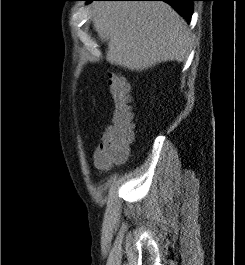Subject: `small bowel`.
Segmentation results:
<instances>
[{
  "instance_id": "c3829d8e",
  "label": "small bowel",
  "mask_w": 245,
  "mask_h": 265,
  "mask_svg": "<svg viewBox=\"0 0 245 265\" xmlns=\"http://www.w3.org/2000/svg\"><path fill=\"white\" fill-rule=\"evenodd\" d=\"M94 163H95V165H96L97 168H99V169H105L104 167H102V166L99 165V163L96 160L95 154H94Z\"/></svg>"
}]
</instances>
